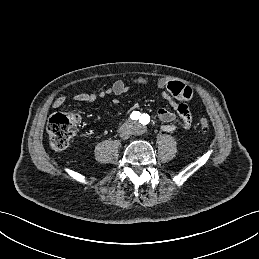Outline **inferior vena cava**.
I'll return each instance as SVG.
<instances>
[{"label":"inferior vena cava","mask_w":259,"mask_h":259,"mask_svg":"<svg viewBox=\"0 0 259 259\" xmlns=\"http://www.w3.org/2000/svg\"><path fill=\"white\" fill-rule=\"evenodd\" d=\"M123 137V139H127L128 138V135H125V136H122Z\"/></svg>","instance_id":"obj_1"}]
</instances>
